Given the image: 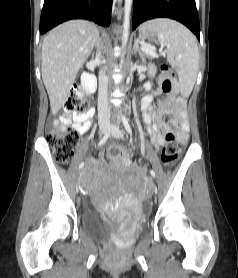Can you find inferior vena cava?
I'll list each match as a JSON object with an SVG mask.
<instances>
[{"label": "inferior vena cava", "instance_id": "1", "mask_svg": "<svg viewBox=\"0 0 238 278\" xmlns=\"http://www.w3.org/2000/svg\"><path fill=\"white\" fill-rule=\"evenodd\" d=\"M95 63H101V53L96 54ZM108 78L104 71L99 72V91H98V121L100 126L109 127L110 125V105L108 102Z\"/></svg>", "mask_w": 238, "mask_h": 278}]
</instances>
